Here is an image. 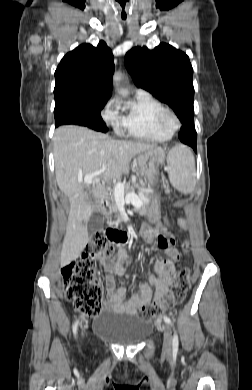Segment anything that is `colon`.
Here are the masks:
<instances>
[{
    "label": "colon",
    "instance_id": "5ec220e1",
    "mask_svg": "<svg viewBox=\"0 0 252 390\" xmlns=\"http://www.w3.org/2000/svg\"><path fill=\"white\" fill-rule=\"evenodd\" d=\"M117 236L116 231L111 228L97 233L86 251L62 270L63 287L67 299L86 317H95L102 310L104 289L97 275V260L112 259L115 256L114 243H116ZM183 249L188 251V243H184ZM117 258L121 266L127 262L125 253L117 254ZM190 286V272L187 268H183L170 293L160 302L138 309L137 315L148 318L174 307L184 299Z\"/></svg>",
    "mask_w": 252,
    "mask_h": 390
}]
</instances>
